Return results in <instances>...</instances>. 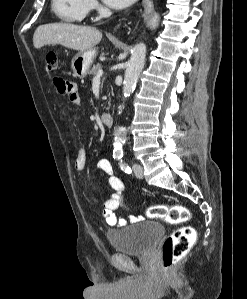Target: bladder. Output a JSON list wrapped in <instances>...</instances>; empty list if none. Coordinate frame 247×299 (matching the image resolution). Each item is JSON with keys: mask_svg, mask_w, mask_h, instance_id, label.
<instances>
[{"mask_svg": "<svg viewBox=\"0 0 247 299\" xmlns=\"http://www.w3.org/2000/svg\"><path fill=\"white\" fill-rule=\"evenodd\" d=\"M165 233L164 226L156 221H140L121 228L110 229L107 238L118 252L143 255L151 251Z\"/></svg>", "mask_w": 247, "mask_h": 299, "instance_id": "1", "label": "bladder"}]
</instances>
